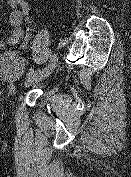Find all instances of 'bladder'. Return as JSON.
<instances>
[{"label": "bladder", "instance_id": "31cf9c89", "mask_svg": "<svg viewBox=\"0 0 131 177\" xmlns=\"http://www.w3.org/2000/svg\"><path fill=\"white\" fill-rule=\"evenodd\" d=\"M24 66L20 58L12 51H6L0 56V73L10 84L15 85L24 74ZM47 87L46 91H50Z\"/></svg>", "mask_w": 131, "mask_h": 177}]
</instances>
